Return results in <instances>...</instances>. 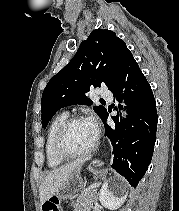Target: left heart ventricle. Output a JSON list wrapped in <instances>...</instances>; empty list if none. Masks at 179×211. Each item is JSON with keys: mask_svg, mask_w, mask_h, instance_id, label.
Listing matches in <instances>:
<instances>
[{"mask_svg": "<svg viewBox=\"0 0 179 211\" xmlns=\"http://www.w3.org/2000/svg\"><path fill=\"white\" fill-rule=\"evenodd\" d=\"M96 137L86 121L75 123L66 137V149L73 153L83 152L90 148Z\"/></svg>", "mask_w": 179, "mask_h": 211, "instance_id": "b2bd125f", "label": "left heart ventricle"}]
</instances>
